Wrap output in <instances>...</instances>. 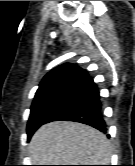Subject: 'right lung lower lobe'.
<instances>
[{"label":"right lung lower lobe","instance_id":"98d812e1","mask_svg":"<svg viewBox=\"0 0 135 166\" xmlns=\"http://www.w3.org/2000/svg\"><path fill=\"white\" fill-rule=\"evenodd\" d=\"M72 100L66 111L53 121H75L106 132V123L101 109L99 90L90 76L67 87Z\"/></svg>","mask_w":135,"mask_h":166}]
</instances>
